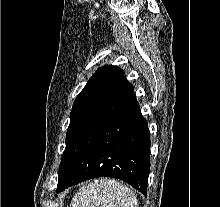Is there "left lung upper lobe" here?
<instances>
[{"instance_id":"5c2ea615","label":"left lung upper lobe","mask_w":220,"mask_h":207,"mask_svg":"<svg viewBox=\"0 0 220 207\" xmlns=\"http://www.w3.org/2000/svg\"><path fill=\"white\" fill-rule=\"evenodd\" d=\"M123 73V70L117 66H104L89 79L73 104L66 143Z\"/></svg>"}]
</instances>
